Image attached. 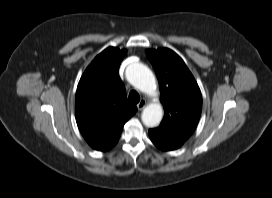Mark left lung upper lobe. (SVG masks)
Masks as SVG:
<instances>
[{
	"mask_svg": "<svg viewBox=\"0 0 272 198\" xmlns=\"http://www.w3.org/2000/svg\"><path fill=\"white\" fill-rule=\"evenodd\" d=\"M146 54L159 82L165 111L161 124L191 135L202 110L198 84L184 61L172 50H147Z\"/></svg>",
	"mask_w": 272,
	"mask_h": 198,
	"instance_id": "left-lung-upper-lobe-1",
	"label": "left lung upper lobe"
}]
</instances>
